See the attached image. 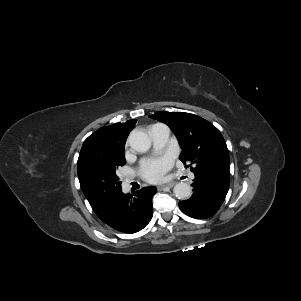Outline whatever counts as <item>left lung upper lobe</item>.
<instances>
[{"mask_svg":"<svg viewBox=\"0 0 301 301\" xmlns=\"http://www.w3.org/2000/svg\"><path fill=\"white\" fill-rule=\"evenodd\" d=\"M166 123L176 134L180 160L193 165L191 171L229 183V153L220 131L207 120L185 112L160 111L150 116ZM189 166V165H188Z\"/></svg>","mask_w":301,"mask_h":301,"instance_id":"5c2ea615","label":"left lung upper lobe"}]
</instances>
